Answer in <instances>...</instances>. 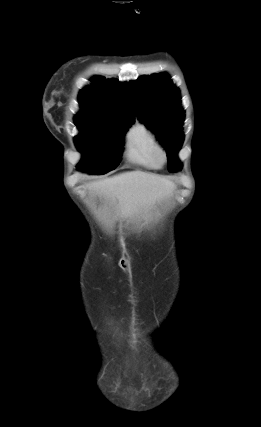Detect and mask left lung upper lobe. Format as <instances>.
<instances>
[{
    "label": "left lung upper lobe",
    "instance_id": "1",
    "mask_svg": "<svg viewBox=\"0 0 261 427\" xmlns=\"http://www.w3.org/2000/svg\"><path fill=\"white\" fill-rule=\"evenodd\" d=\"M141 122L155 132L157 139L166 148L168 170L180 169L177 153L184 135L181 127L184 111L181 108L179 90L173 86L166 73L141 76L129 83Z\"/></svg>",
    "mask_w": 261,
    "mask_h": 427
}]
</instances>
